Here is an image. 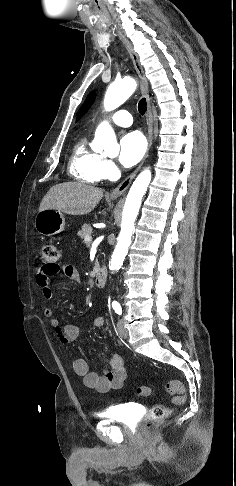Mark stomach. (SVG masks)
Segmentation results:
<instances>
[{
  "label": "stomach",
  "instance_id": "obj_1",
  "mask_svg": "<svg viewBox=\"0 0 236 486\" xmlns=\"http://www.w3.org/2000/svg\"><path fill=\"white\" fill-rule=\"evenodd\" d=\"M34 227L39 234L45 236L60 233L65 228L64 215L55 209L39 211L35 217Z\"/></svg>",
  "mask_w": 236,
  "mask_h": 486
}]
</instances>
